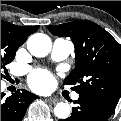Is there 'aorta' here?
I'll return each instance as SVG.
<instances>
[{"label": "aorta", "instance_id": "aorta-1", "mask_svg": "<svg viewBox=\"0 0 121 121\" xmlns=\"http://www.w3.org/2000/svg\"><path fill=\"white\" fill-rule=\"evenodd\" d=\"M52 42L48 35L43 33H36L29 37L27 41V48L29 52L36 57H45L51 51ZM71 107L68 103H57L54 108V114L60 119L69 117Z\"/></svg>", "mask_w": 121, "mask_h": 121}]
</instances>
